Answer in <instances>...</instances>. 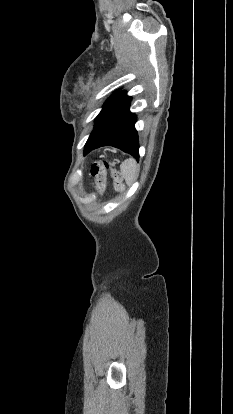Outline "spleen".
I'll use <instances>...</instances> for the list:
<instances>
[{
  "label": "spleen",
  "instance_id": "spleen-1",
  "mask_svg": "<svg viewBox=\"0 0 233 414\" xmlns=\"http://www.w3.org/2000/svg\"><path fill=\"white\" fill-rule=\"evenodd\" d=\"M120 169L127 184L130 186L138 176L139 167L137 163L132 159H128L120 165Z\"/></svg>",
  "mask_w": 233,
  "mask_h": 414
}]
</instances>
